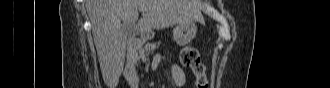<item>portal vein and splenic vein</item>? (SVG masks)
I'll use <instances>...</instances> for the list:
<instances>
[{
	"label": "portal vein and splenic vein",
	"instance_id": "portal-vein-and-splenic-vein-1",
	"mask_svg": "<svg viewBox=\"0 0 330 88\" xmlns=\"http://www.w3.org/2000/svg\"><path fill=\"white\" fill-rule=\"evenodd\" d=\"M140 11H142V12H145V11H146V9H145V8H141V9H140Z\"/></svg>",
	"mask_w": 330,
	"mask_h": 88
}]
</instances>
